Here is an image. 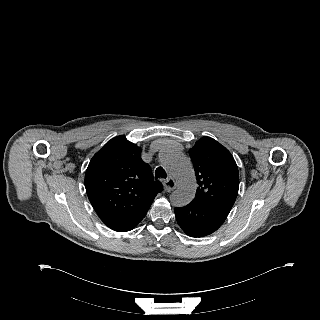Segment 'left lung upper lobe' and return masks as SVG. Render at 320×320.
I'll list each match as a JSON object with an SVG mask.
<instances>
[{
	"mask_svg": "<svg viewBox=\"0 0 320 320\" xmlns=\"http://www.w3.org/2000/svg\"><path fill=\"white\" fill-rule=\"evenodd\" d=\"M198 189L193 201L230 212L239 189V173L231 153L210 137L199 139L189 150Z\"/></svg>",
	"mask_w": 320,
	"mask_h": 320,
	"instance_id": "obj_1",
	"label": "left lung upper lobe"
}]
</instances>
